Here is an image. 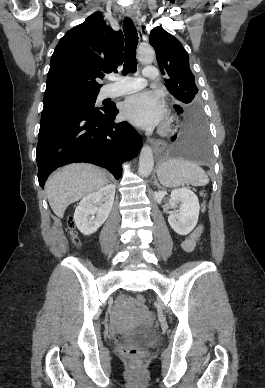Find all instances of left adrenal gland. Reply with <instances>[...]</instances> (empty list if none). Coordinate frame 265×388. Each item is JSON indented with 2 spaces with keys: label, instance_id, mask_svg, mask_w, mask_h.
<instances>
[{
  "label": "left adrenal gland",
  "instance_id": "obj_1",
  "mask_svg": "<svg viewBox=\"0 0 265 388\" xmlns=\"http://www.w3.org/2000/svg\"><path fill=\"white\" fill-rule=\"evenodd\" d=\"M155 186H158V188H161L160 184H158L156 178H155V182H154Z\"/></svg>",
  "mask_w": 265,
  "mask_h": 388
}]
</instances>
